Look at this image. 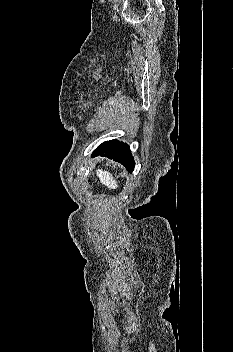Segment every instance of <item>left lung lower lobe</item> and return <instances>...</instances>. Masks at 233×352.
I'll list each match as a JSON object with an SVG mask.
<instances>
[{"instance_id":"0a47b994","label":"left lung lower lobe","mask_w":233,"mask_h":352,"mask_svg":"<svg viewBox=\"0 0 233 352\" xmlns=\"http://www.w3.org/2000/svg\"><path fill=\"white\" fill-rule=\"evenodd\" d=\"M104 156L113 159L116 162L121 163L126 167L130 173L134 170L135 161L131 155L130 148L127 144L117 141L110 140L100 144L94 151V156Z\"/></svg>"}]
</instances>
